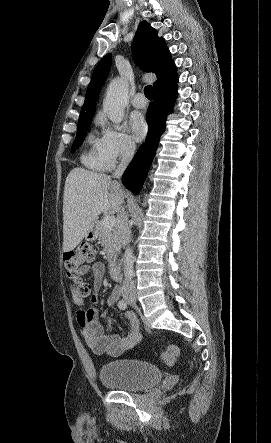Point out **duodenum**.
Segmentation results:
<instances>
[{
	"label": "duodenum",
	"instance_id": "1",
	"mask_svg": "<svg viewBox=\"0 0 271 443\" xmlns=\"http://www.w3.org/2000/svg\"><path fill=\"white\" fill-rule=\"evenodd\" d=\"M109 273L113 278H119L120 277V267L117 261L112 260L109 264Z\"/></svg>",
	"mask_w": 271,
	"mask_h": 443
}]
</instances>
